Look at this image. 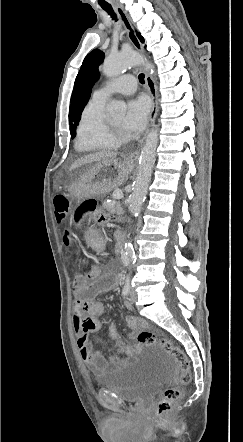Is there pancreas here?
<instances>
[{
	"label": "pancreas",
	"mask_w": 243,
	"mask_h": 442,
	"mask_svg": "<svg viewBox=\"0 0 243 442\" xmlns=\"http://www.w3.org/2000/svg\"><path fill=\"white\" fill-rule=\"evenodd\" d=\"M103 208L106 209L111 214H116L122 212L121 203L119 201L107 203H103Z\"/></svg>",
	"instance_id": "pancreas-1"
}]
</instances>
